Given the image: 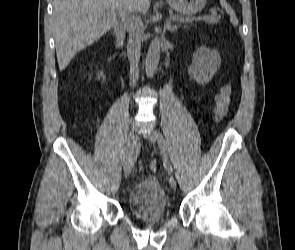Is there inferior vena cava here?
I'll use <instances>...</instances> for the list:
<instances>
[{"label": "inferior vena cava", "mask_w": 295, "mask_h": 250, "mask_svg": "<svg viewBox=\"0 0 295 250\" xmlns=\"http://www.w3.org/2000/svg\"><path fill=\"white\" fill-rule=\"evenodd\" d=\"M133 8L129 9L127 27L129 31V41L127 46L130 61V84L136 86L139 74V59L141 55V44L143 40L144 27L140 16L134 14Z\"/></svg>", "instance_id": "602c4592"}]
</instances>
